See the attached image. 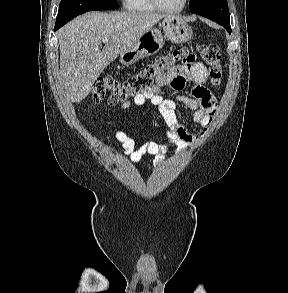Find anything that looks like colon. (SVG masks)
Returning a JSON list of instances; mask_svg holds the SVG:
<instances>
[{
	"mask_svg": "<svg viewBox=\"0 0 288 293\" xmlns=\"http://www.w3.org/2000/svg\"><path fill=\"white\" fill-rule=\"evenodd\" d=\"M198 51L209 66V77L214 86H219L222 78L221 54L217 44L210 43L199 46ZM190 56L188 49L171 51L147 64L143 69L127 78L118 81L112 76H103L93 85L92 98L98 103L107 100L109 104H118L140 94L152 87L155 79L178 67Z\"/></svg>",
	"mask_w": 288,
	"mask_h": 293,
	"instance_id": "5ec220e1",
	"label": "colon"
}]
</instances>
